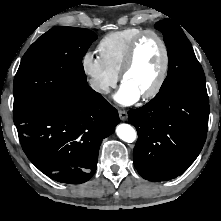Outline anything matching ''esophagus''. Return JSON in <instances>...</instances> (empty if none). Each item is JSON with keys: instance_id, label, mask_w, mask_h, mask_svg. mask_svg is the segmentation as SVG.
Wrapping results in <instances>:
<instances>
[{"instance_id": "1", "label": "esophagus", "mask_w": 221, "mask_h": 221, "mask_svg": "<svg viewBox=\"0 0 221 221\" xmlns=\"http://www.w3.org/2000/svg\"><path fill=\"white\" fill-rule=\"evenodd\" d=\"M119 117H120V119H121L122 121H125V120H127V118H128V114H127L126 111L120 110V111H119Z\"/></svg>"}]
</instances>
